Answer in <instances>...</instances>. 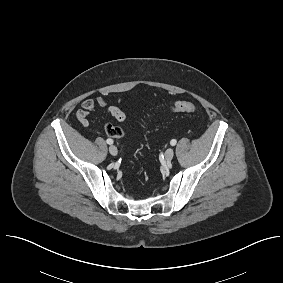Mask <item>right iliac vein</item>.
<instances>
[{"instance_id": "63e3f726", "label": "right iliac vein", "mask_w": 283, "mask_h": 283, "mask_svg": "<svg viewBox=\"0 0 283 283\" xmlns=\"http://www.w3.org/2000/svg\"><path fill=\"white\" fill-rule=\"evenodd\" d=\"M109 152H110L111 155L116 156V155L118 154L117 147L114 146V145H111V146L109 147Z\"/></svg>"}]
</instances>
